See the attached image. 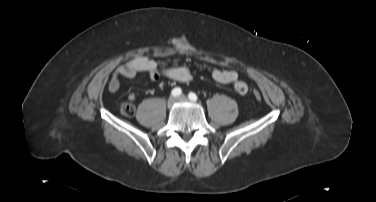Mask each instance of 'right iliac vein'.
<instances>
[{
	"label": "right iliac vein",
	"mask_w": 376,
	"mask_h": 202,
	"mask_svg": "<svg viewBox=\"0 0 376 202\" xmlns=\"http://www.w3.org/2000/svg\"><path fill=\"white\" fill-rule=\"evenodd\" d=\"M176 103V99H175V97H170L169 99H168V102H167V106H168V108H171V107H173V105Z\"/></svg>",
	"instance_id": "1"
}]
</instances>
